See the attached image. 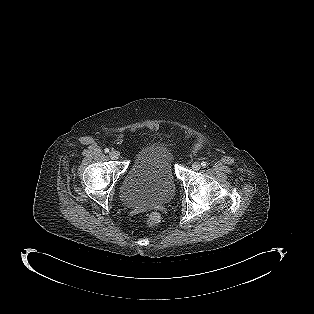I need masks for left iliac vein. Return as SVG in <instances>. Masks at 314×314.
I'll return each mask as SVG.
<instances>
[{"label":"left iliac vein","mask_w":314,"mask_h":314,"mask_svg":"<svg viewBox=\"0 0 314 314\" xmlns=\"http://www.w3.org/2000/svg\"><path fill=\"white\" fill-rule=\"evenodd\" d=\"M201 168V165L199 162L192 163V169L193 170H199Z\"/></svg>","instance_id":"1"}]
</instances>
